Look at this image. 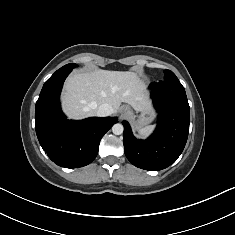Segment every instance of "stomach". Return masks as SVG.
I'll list each match as a JSON object with an SVG mask.
<instances>
[{
    "instance_id": "1",
    "label": "stomach",
    "mask_w": 235,
    "mask_h": 235,
    "mask_svg": "<svg viewBox=\"0 0 235 235\" xmlns=\"http://www.w3.org/2000/svg\"><path fill=\"white\" fill-rule=\"evenodd\" d=\"M129 115L138 130L143 129L155 119V112H153L150 107H145L135 112L130 111Z\"/></svg>"
}]
</instances>
